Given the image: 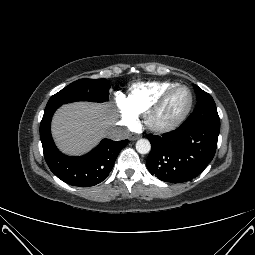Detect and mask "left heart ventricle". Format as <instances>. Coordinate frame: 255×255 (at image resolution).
<instances>
[{
  "instance_id": "1",
  "label": "left heart ventricle",
  "mask_w": 255,
  "mask_h": 255,
  "mask_svg": "<svg viewBox=\"0 0 255 255\" xmlns=\"http://www.w3.org/2000/svg\"><path fill=\"white\" fill-rule=\"evenodd\" d=\"M189 101V94L186 90L176 91L166 102L161 111L157 114L156 120L168 122L180 115L186 108Z\"/></svg>"
}]
</instances>
